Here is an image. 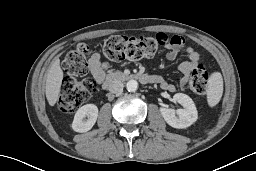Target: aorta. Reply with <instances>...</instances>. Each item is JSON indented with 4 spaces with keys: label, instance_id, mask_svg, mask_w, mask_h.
<instances>
[{
    "label": "aorta",
    "instance_id": "obj_1",
    "mask_svg": "<svg viewBox=\"0 0 256 171\" xmlns=\"http://www.w3.org/2000/svg\"><path fill=\"white\" fill-rule=\"evenodd\" d=\"M126 88L129 92H135L138 89V82L136 80H129L126 83Z\"/></svg>",
    "mask_w": 256,
    "mask_h": 171
}]
</instances>
